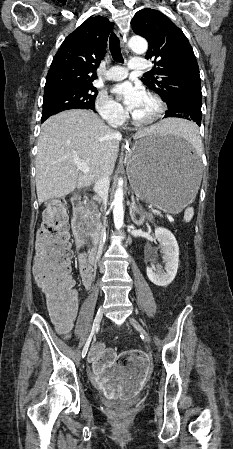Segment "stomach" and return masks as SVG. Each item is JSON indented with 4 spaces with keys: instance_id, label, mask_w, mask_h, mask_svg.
<instances>
[{
    "instance_id": "obj_1",
    "label": "stomach",
    "mask_w": 233,
    "mask_h": 449,
    "mask_svg": "<svg viewBox=\"0 0 233 449\" xmlns=\"http://www.w3.org/2000/svg\"><path fill=\"white\" fill-rule=\"evenodd\" d=\"M127 174L137 197L167 213H178L196 201L201 164L187 142L173 133H154L131 147Z\"/></svg>"
}]
</instances>
